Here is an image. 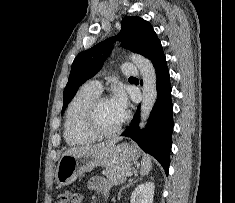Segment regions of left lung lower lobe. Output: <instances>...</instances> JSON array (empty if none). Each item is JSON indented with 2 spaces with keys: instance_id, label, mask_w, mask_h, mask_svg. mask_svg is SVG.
<instances>
[{
  "instance_id": "obj_1",
  "label": "left lung lower lobe",
  "mask_w": 235,
  "mask_h": 203,
  "mask_svg": "<svg viewBox=\"0 0 235 203\" xmlns=\"http://www.w3.org/2000/svg\"><path fill=\"white\" fill-rule=\"evenodd\" d=\"M147 58L151 60L156 71L158 97L146 128L140 130L138 127L140 119L138 106L134 119L121 136L133 139L142 150L156 158L168 174L169 154L172 145L173 105L169 71L160 40L153 45Z\"/></svg>"
}]
</instances>
